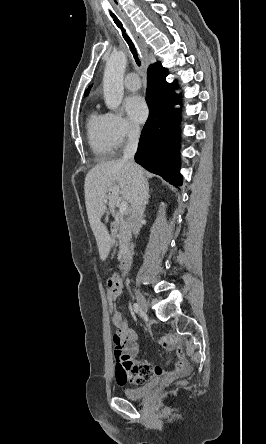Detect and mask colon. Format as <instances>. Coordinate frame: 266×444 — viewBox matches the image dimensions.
<instances>
[{"mask_svg":"<svg viewBox=\"0 0 266 444\" xmlns=\"http://www.w3.org/2000/svg\"><path fill=\"white\" fill-rule=\"evenodd\" d=\"M120 285L118 282H111L109 285V292L107 296V305L111 316L118 312L116 307V300L119 292Z\"/></svg>","mask_w":266,"mask_h":444,"instance_id":"1","label":"colon"}]
</instances>
